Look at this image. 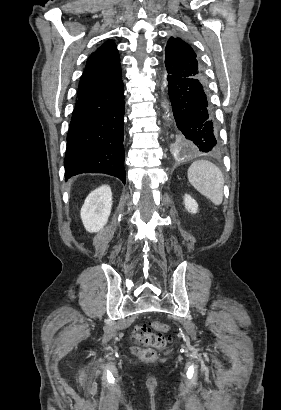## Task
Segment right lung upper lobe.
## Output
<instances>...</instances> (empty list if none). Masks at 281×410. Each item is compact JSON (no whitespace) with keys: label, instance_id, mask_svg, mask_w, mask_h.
Instances as JSON below:
<instances>
[{"label":"right lung upper lobe","instance_id":"right-lung-upper-lobe-1","mask_svg":"<svg viewBox=\"0 0 281 410\" xmlns=\"http://www.w3.org/2000/svg\"><path fill=\"white\" fill-rule=\"evenodd\" d=\"M122 80L120 58L113 41L109 40L89 57L79 82L77 97L109 89Z\"/></svg>","mask_w":281,"mask_h":410}]
</instances>
